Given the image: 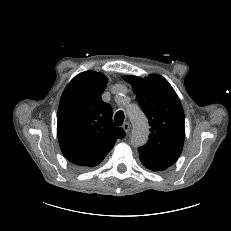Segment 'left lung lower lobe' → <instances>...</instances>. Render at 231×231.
<instances>
[{
	"label": "left lung lower lobe",
	"instance_id": "1",
	"mask_svg": "<svg viewBox=\"0 0 231 231\" xmlns=\"http://www.w3.org/2000/svg\"><path fill=\"white\" fill-rule=\"evenodd\" d=\"M141 162L146 168L153 170V171H162V170H165L167 168V167H163V166L150 165V164L144 162L143 160H141Z\"/></svg>",
	"mask_w": 231,
	"mask_h": 231
}]
</instances>
